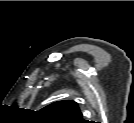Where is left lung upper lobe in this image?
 <instances>
[{"label":"left lung upper lobe","instance_id":"5c2ea615","mask_svg":"<svg viewBox=\"0 0 134 123\" xmlns=\"http://www.w3.org/2000/svg\"><path fill=\"white\" fill-rule=\"evenodd\" d=\"M42 113L51 119L67 123H83L78 104L72 100L57 101L43 108Z\"/></svg>","mask_w":134,"mask_h":123}]
</instances>
